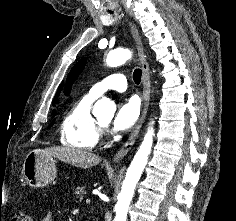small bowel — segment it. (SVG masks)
Here are the masks:
<instances>
[{
    "instance_id": "1",
    "label": "small bowel",
    "mask_w": 236,
    "mask_h": 221,
    "mask_svg": "<svg viewBox=\"0 0 236 221\" xmlns=\"http://www.w3.org/2000/svg\"><path fill=\"white\" fill-rule=\"evenodd\" d=\"M41 221H53V213L51 211L46 212Z\"/></svg>"
}]
</instances>
